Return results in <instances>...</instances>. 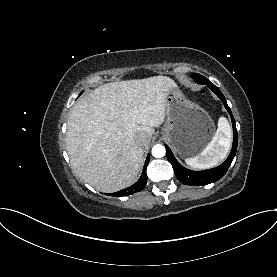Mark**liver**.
<instances>
[{"label":"liver","mask_w":277,"mask_h":277,"mask_svg":"<svg viewBox=\"0 0 277 277\" xmlns=\"http://www.w3.org/2000/svg\"><path fill=\"white\" fill-rule=\"evenodd\" d=\"M167 76L111 82L82 96L72 107L66 148L72 168L101 192H115L138 178L154 127L165 119L166 96L176 88ZM145 133V146L135 141Z\"/></svg>","instance_id":"liver-1"}]
</instances>
